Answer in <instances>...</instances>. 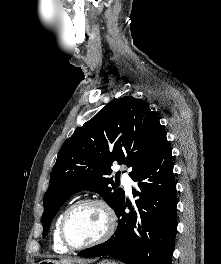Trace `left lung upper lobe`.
I'll return each instance as SVG.
<instances>
[{"label": "left lung upper lobe", "instance_id": "1", "mask_svg": "<svg viewBox=\"0 0 221 264\" xmlns=\"http://www.w3.org/2000/svg\"><path fill=\"white\" fill-rule=\"evenodd\" d=\"M165 140L157 116L132 96L112 101L77 128L62 145L51 172L43 199V237L60 207L76 192H97L116 210L125 195L108 177L112 163L127 165L132 178L154 159Z\"/></svg>", "mask_w": 221, "mask_h": 264}]
</instances>
